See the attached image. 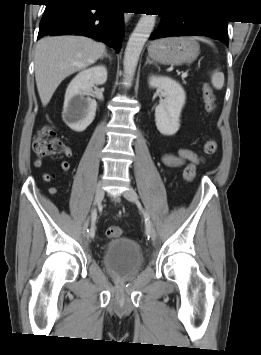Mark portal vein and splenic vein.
Listing matches in <instances>:
<instances>
[{
  "mask_svg": "<svg viewBox=\"0 0 261 355\" xmlns=\"http://www.w3.org/2000/svg\"><path fill=\"white\" fill-rule=\"evenodd\" d=\"M187 75H188L187 72H184V73H182L181 77L185 78V77H187Z\"/></svg>",
  "mask_w": 261,
  "mask_h": 355,
  "instance_id": "18ae733b",
  "label": "portal vein and splenic vein"
}]
</instances>
